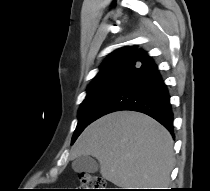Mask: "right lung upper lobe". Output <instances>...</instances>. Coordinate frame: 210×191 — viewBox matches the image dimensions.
I'll return each instance as SVG.
<instances>
[{"mask_svg":"<svg viewBox=\"0 0 210 191\" xmlns=\"http://www.w3.org/2000/svg\"><path fill=\"white\" fill-rule=\"evenodd\" d=\"M137 51H138V49L133 46H126V47L117 49L116 51H114L110 54V56L104 61V63L108 60L114 59L119 56L132 57Z\"/></svg>","mask_w":210,"mask_h":191,"instance_id":"cb5924a9","label":"right lung upper lobe"}]
</instances>
